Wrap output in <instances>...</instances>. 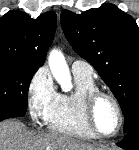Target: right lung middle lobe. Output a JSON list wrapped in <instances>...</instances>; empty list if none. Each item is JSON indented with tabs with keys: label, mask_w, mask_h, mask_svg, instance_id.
Instances as JSON below:
<instances>
[{
	"label": "right lung middle lobe",
	"mask_w": 139,
	"mask_h": 150,
	"mask_svg": "<svg viewBox=\"0 0 139 150\" xmlns=\"http://www.w3.org/2000/svg\"><path fill=\"white\" fill-rule=\"evenodd\" d=\"M37 69L15 62H0V117L25 115L28 88Z\"/></svg>",
	"instance_id": "1"
}]
</instances>
